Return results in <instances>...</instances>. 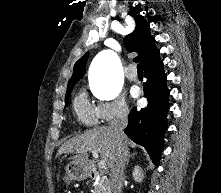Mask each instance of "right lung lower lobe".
<instances>
[{
	"label": "right lung lower lobe",
	"instance_id": "1",
	"mask_svg": "<svg viewBox=\"0 0 221 193\" xmlns=\"http://www.w3.org/2000/svg\"><path fill=\"white\" fill-rule=\"evenodd\" d=\"M145 77L147 81L143 84V90L148 106L140 110L133 107L124 132L135 143L144 146L153 163L158 166L169 111V90L166 86L167 75L164 73L163 62L146 69Z\"/></svg>",
	"mask_w": 221,
	"mask_h": 193
}]
</instances>
